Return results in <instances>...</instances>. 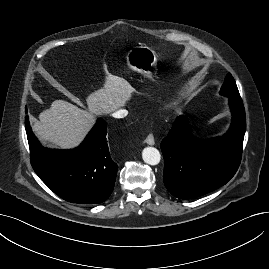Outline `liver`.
Masks as SVG:
<instances>
[{"instance_id":"obj_1","label":"liver","mask_w":269,"mask_h":269,"mask_svg":"<svg viewBox=\"0 0 269 269\" xmlns=\"http://www.w3.org/2000/svg\"><path fill=\"white\" fill-rule=\"evenodd\" d=\"M134 92L124 78L107 75L104 86L86 98L88 110L64 100H55L49 109L40 113L33 130L43 141L60 149L77 147L92 128L96 116L125 106Z\"/></svg>"}]
</instances>
